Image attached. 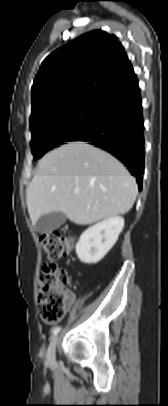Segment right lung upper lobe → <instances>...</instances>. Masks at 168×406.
I'll return each mask as SVG.
<instances>
[{
    "instance_id": "right-lung-upper-lobe-1",
    "label": "right lung upper lobe",
    "mask_w": 168,
    "mask_h": 406,
    "mask_svg": "<svg viewBox=\"0 0 168 406\" xmlns=\"http://www.w3.org/2000/svg\"><path fill=\"white\" fill-rule=\"evenodd\" d=\"M136 81L118 38L90 31L43 61L32 86L30 123L83 100L105 99Z\"/></svg>"
}]
</instances>
